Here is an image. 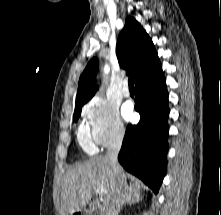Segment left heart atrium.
<instances>
[{
  "mask_svg": "<svg viewBox=\"0 0 221 215\" xmlns=\"http://www.w3.org/2000/svg\"><path fill=\"white\" fill-rule=\"evenodd\" d=\"M123 113L125 115L126 118H130L131 115H132V112H131V108L130 106L126 105L123 109Z\"/></svg>",
  "mask_w": 221,
  "mask_h": 215,
  "instance_id": "left-heart-atrium-1",
  "label": "left heart atrium"
}]
</instances>
